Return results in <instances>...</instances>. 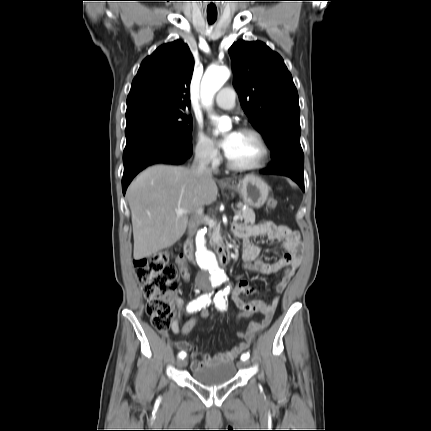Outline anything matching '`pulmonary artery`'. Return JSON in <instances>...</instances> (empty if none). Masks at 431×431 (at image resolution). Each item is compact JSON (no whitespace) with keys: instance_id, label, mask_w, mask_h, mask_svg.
I'll list each match as a JSON object with an SVG mask.
<instances>
[{"instance_id":"pulmonary-artery-1","label":"pulmonary artery","mask_w":431,"mask_h":431,"mask_svg":"<svg viewBox=\"0 0 431 431\" xmlns=\"http://www.w3.org/2000/svg\"><path fill=\"white\" fill-rule=\"evenodd\" d=\"M236 103V92L232 87L222 88L215 97V104L222 109H232Z\"/></svg>"}]
</instances>
